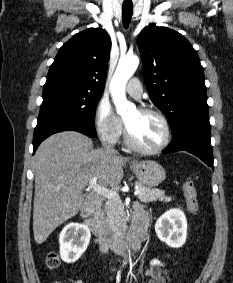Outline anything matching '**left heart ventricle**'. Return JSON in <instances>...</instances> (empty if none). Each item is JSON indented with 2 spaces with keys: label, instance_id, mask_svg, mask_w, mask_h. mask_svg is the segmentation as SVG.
<instances>
[{
  "label": "left heart ventricle",
  "instance_id": "left-heart-ventricle-1",
  "mask_svg": "<svg viewBox=\"0 0 233 283\" xmlns=\"http://www.w3.org/2000/svg\"><path fill=\"white\" fill-rule=\"evenodd\" d=\"M124 120L132 137L139 145L155 148L163 142L165 129L157 116L133 110Z\"/></svg>",
  "mask_w": 233,
  "mask_h": 283
}]
</instances>
